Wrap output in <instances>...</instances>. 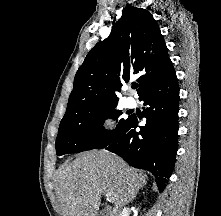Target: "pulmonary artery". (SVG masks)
<instances>
[{"label":"pulmonary artery","instance_id":"1","mask_svg":"<svg viewBox=\"0 0 221 216\" xmlns=\"http://www.w3.org/2000/svg\"><path fill=\"white\" fill-rule=\"evenodd\" d=\"M126 104L128 107L132 108L136 106V99L133 96H128L126 100Z\"/></svg>","mask_w":221,"mask_h":216}]
</instances>
